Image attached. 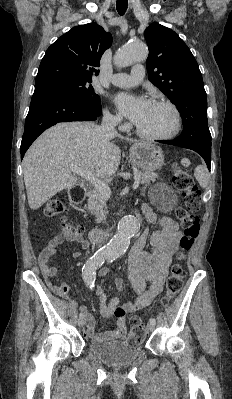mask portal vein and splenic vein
I'll list each match as a JSON object with an SVG mask.
<instances>
[{"label": "portal vein and splenic vein", "instance_id": "portal-vein-and-splenic-vein-1", "mask_svg": "<svg viewBox=\"0 0 232 399\" xmlns=\"http://www.w3.org/2000/svg\"><path fill=\"white\" fill-rule=\"evenodd\" d=\"M70 168H71L73 174H78V176H81V178H85V180H89V182H91V184H93V186H95V188H98V190H100V192H103V194H106V196H111V190H110L108 184H104V182H102V180H99V178H96V176H94V174H91V172H88V170H82V168H77V166H74V164H71ZM139 178H140V176H137V178L133 184V190H137L138 182H140Z\"/></svg>", "mask_w": 232, "mask_h": 399}]
</instances>
